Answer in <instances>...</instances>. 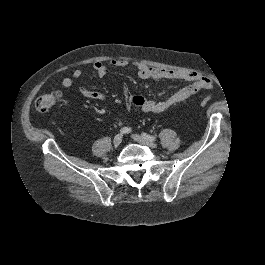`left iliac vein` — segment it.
Listing matches in <instances>:
<instances>
[{
	"label": "left iliac vein",
	"instance_id": "4c4485c4",
	"mask_svg": "<svg viewBox=\"0 0 265 265\" xmlns=\"http://www.w3.org/2000/svg\"><path fill=\"white\" fill-rule=\"evenodd\" d=\"M133 139L139 143H142L144 145H147L149 147H155V140H153L152 138L150 137H145V136H141V135H138V134H134L133 136Z\"/></svg>",
	"mask_w": 265,
	"mask_h": 265
}]
</instances>
